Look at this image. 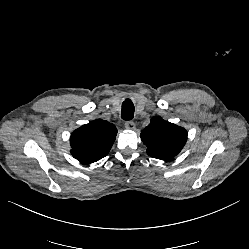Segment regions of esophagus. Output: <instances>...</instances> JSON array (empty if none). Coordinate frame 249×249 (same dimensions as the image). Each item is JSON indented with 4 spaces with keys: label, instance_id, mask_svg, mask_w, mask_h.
I'll use <instances>...</instances> for the list:
<instances>
[{
    "label": "esophagus",
    "instance_id": "esophagus-1",
    "mask_svg": "<svg viewBox=\"0 0 249 249\" xmlns=\"http://www.w3.org/2000/svg\"><path fill=\"white\" fill-rule=\"evenodd\" d=\"M125 128L129 130H134L135 129V123L133 121H126L125 122Z\"/></svg>",
    "mask_w": 249,
    "mask_h": 249
}]
</instances>
